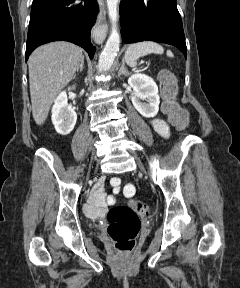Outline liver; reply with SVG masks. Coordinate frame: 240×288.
<instances>
[{"mask_svg": "<svg viewBox=\"0 0 240 288\" xmlns=\"http://www.w3.org/2000/svg\"><path fill=\"white\" fill-rule=\"evenodd\" d=\"M83 61L82 49L65 41L40 46L30 55V96L37 125L45 122L54 98L72 80Z\"/></svg>", "mask_w": 240, "mask_h": 288, "instance_id": "6515ba94", "label": "liver"}]
</instances>
